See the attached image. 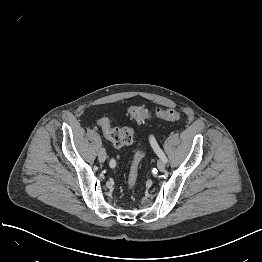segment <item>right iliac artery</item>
I'll list each match as a JSON object with an SVG mask.
<instances>
[{
    "label": "right iliac artery",
    "mask_w": 262,
    "mask_h": 262,
    "mask_svg": "<svg viewBox=\"0 0 262 262\" xmlns=\"http://www.w3.org/2000/svg\"><path fill=\"white\" fill-rule=\"evenodd\" d=\"M114 163H115V161H114V160H111L110 163H109L110 167H112V165H113Z\"/></svg>",
    "instance_id": "right-iliac-artery-1"
}]
</instances>
